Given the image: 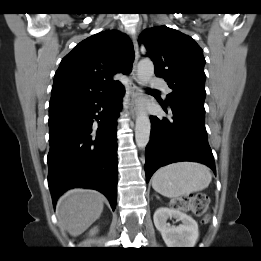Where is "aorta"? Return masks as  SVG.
I'll return each instance as SVG.
<instances>
[{"instance_id": "1", "label": "aorta", "mask_w": 261, "mask_h": 261, "mask_svg": "<svg viewBox=\"0 0 261 261\" xmlns=\"http://www.w3.org/2000/svg\"><path fill=\"white\" fill-rule=\"evenodd\" d=\"M154 74V65L150 59H143L138 63L137 78L138 84L144 87ZM151 123L146 112L140 111L137 114L135 125V140L139 148L147 146L150 139Z\"/></svg>"}]
</instances>
